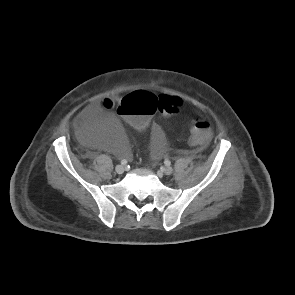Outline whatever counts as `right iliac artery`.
<instances>
[{
  "instance_id": "1",
  "label": "right iliac artery",
  "mask_w": 295,
  "mask_h": 295,
  "mask_svg": "<svg viewBox=\"0 0 295 295\" xmlns=\"http://www.w3.org/2000/svg\"><path fill=\"white\" fill-rule=\"evenodd\" d=\"M121 164H122V165L127 164V160L123 159V160L121 161Z\"/></svg>"
}]
</instances>
